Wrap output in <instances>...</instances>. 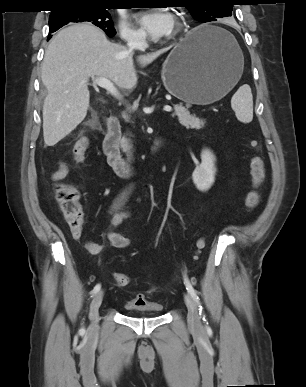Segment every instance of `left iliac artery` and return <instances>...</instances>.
Segmentation results:
<instances>
[{
  "label": "left iliac artery",
  "mask_w": 306,
  "mask_h": 387,
  "mask_svg": "<svg viewBox=\"0 0 306 387\" xmlns=\"http://www.w3.org/2000/svg\"><path fill=\"white\" fill-rule=\"evenodd\" d=\"M184 284L186 286V289H187L188 293L191 295V297L197 303L199 312L203 316V320L206 322L205 315H204V312H203V307H202V305L200 303V299H199V297H198V295L196 293V290L193 288V286L191 285L190 281L188 280V278L186 276L184 278Z\"/></svg>",
  "instance_id": "1"
}]
</instances>
